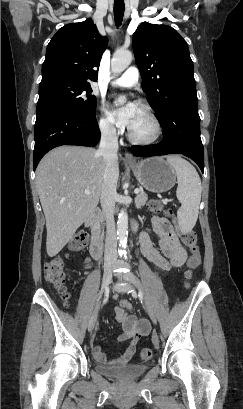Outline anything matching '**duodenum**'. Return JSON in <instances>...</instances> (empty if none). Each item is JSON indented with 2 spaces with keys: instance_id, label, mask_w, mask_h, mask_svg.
I'll list each match as a JSON object with an SVG mask.
<instances>
[{
  "instance_id": "obj_1",
  "label": "duodenum",
  "mask_w": 243,
  "mask_h": 409,
  "mask_svg": "<svg viewBox=\"0 0 243 409\" xmlns=\"http://www.w3.org/2000/svg\"><path fill=\"white\" fill-rule=\"evenodd\" d=\"M101 217V212L98 209H93L90 213L87 222L92 226L90 254L95 258H100L103 252V242L98 221Z\"/></svg>"
}]
</instances>
